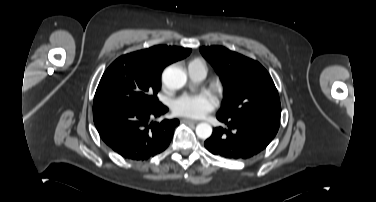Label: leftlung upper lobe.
Wrapping results in <instances>:
<instances>
[{
  "instance_id": "left-lung-upper-lobe-1",
  "label": "left lung upper lobe",
  "mask_w": 376,
  "mask_h": 202,
  "mask_svg": "<svg viewBox=\"0 0 376 202\" xmlns=\"http://www.w3.org/2000/svg\"><path fill=\"white\" fill-rule=\"evenodd\" d=\"M224 86L225 100L219 115L255 116L280 124L281 105L267 70L257 61L222 46L201 47Z\"/></svg>"
}]
</instances>
